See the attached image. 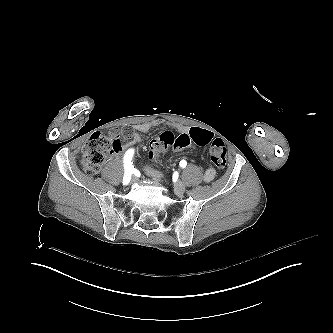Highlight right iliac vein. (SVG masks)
I'll return each instance as SVG.
<instances>
[{
    "instance_id": "1",
    "label": "right iliac vein",
    "mask_w": 333,
    "mask_h": 333,
    "mask_svg": "<svg viewBox=\"0 0 333 333\" xmlns=\"http://www.w3.org/2000/svg\"><path fill=\"white\" fill-rule=\"evenodd\" d=\"M131 182H136V179L133 178V179L131 180Z\"/></svg>"
}]
</instances>
